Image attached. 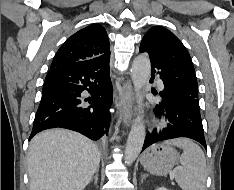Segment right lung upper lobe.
I'll list each match as a JSON object with an SVG mask.
<instances>
[{"label": "right lung upper lobe", "instance_id": "obj_1", "mask_svg": "<svg viewBox=\"0 0 234 190\" xmlns=\"http://www.w3.org/2000/svg\"><path fill=\"white\" fill-rule=\"evenodd\" d=\"M94 58L110 59L107 32L99 24L87 26L70 36L57 51L50 69Z\"/></svg>", "mask_w": 234, "mask_h": 190}]
</instances>
